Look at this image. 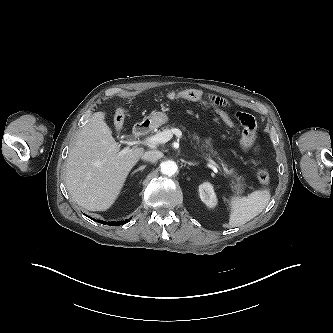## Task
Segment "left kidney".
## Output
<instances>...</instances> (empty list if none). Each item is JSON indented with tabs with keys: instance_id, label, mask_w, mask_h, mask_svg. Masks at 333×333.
Listing matches in <instances>:
<instances>
[{
	"instance_id": "5707ae66",
	"label": "left kidney",
	"mask_w": 333,
	"mask_h": 333,
	"mask_svg": "<svg viewBox=\"0 0 333 333\" xmlns=\"http://www.w3.org/2000/svg\"><path fill=\"white\" fill-rule=\"evenodd\" d=\"M199 195L202 202L206 204L207 207L213 208L217 205V197L214 192L213 186L209 182H204L199 185Z\"/></svg>"
}]
</instances>
